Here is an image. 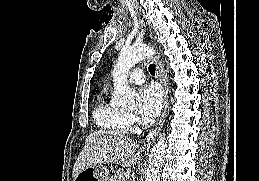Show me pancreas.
<instances>
[{
  "mask_svg": "<svg viewBox=\"0 0 259 181\" xmlns=\"http://www.w3.org/2000/svg\"><path fill=\"white\" fill-rule=\"evenodd\" d=\"M125 171L123 169H119L115 172L114 175H112L111 180L110 181H121V179L123 178Z\"/></svg>",
  "mask_w": 259,
  "mask_h": 181,
  "instance_id": "cf45deb5",
  "label": "pancreas"
}]
</instances>
